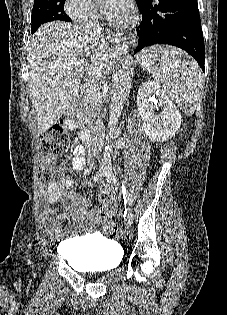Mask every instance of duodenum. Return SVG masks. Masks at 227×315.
Listing matches in <instances>:
<instances>
[{
  "label": "duodenum",
  "mask_w": 227,
  "mask_h": 315,
  "mask_svg": "<svg viewBox=\"0 0 227 315\" xmlns=\"http://www.w3.org/2000/svg\"><path fill=\"white\" fill-rule=\"evenodd\" d=\"M65 122L69 127H74L76 123L75 113L70 111L65 116ZM82 140L87 143L91 144L93 135L88 131H83L81 134Z\"/></svg>",
  "instance_id": "410a0bca"
}]
</instances>
